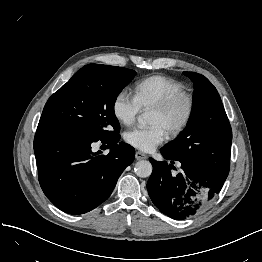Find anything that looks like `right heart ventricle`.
<instances>
[{"label":"right heart ventricle","mask_w":262,"mask_h":262,"mask_svg":"<svg viewBox=\"0 0 262 262\" xmlns=\"http://www.w3.org/2000/svg\"><path fill=\"white\" fill-rule=\"evenodd\" d=\"M183 91V85L168 76L153 75L138 82L134 97L141 109H150L168 96Z\"/></svg>","instance_id":"obj_1"}]
</instances>
